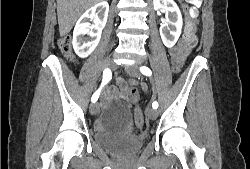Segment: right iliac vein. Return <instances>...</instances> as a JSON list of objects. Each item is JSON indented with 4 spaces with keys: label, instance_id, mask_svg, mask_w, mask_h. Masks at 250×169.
Segmentation results:
<instances>
[{
    "label": "right iliac vein",
    "instance_id": "right-iliac-vein-1",
    "mask_svg": "<svg viewBox=\"0 0 250 169\" xmlns=\"http://www.w3.org/2000/svg\"><path fill=\"white\" fill-rule=\"evenodd\" d=\"M103 68H111L113 70L116 69V63L113 61L112 58H107L103 64ZM90 112L92 115H96L98 112V104L93 102L90 106Z\"/></svg>",
    "mask_w": 250,
    "mask_h": 169
}]
</instances>
